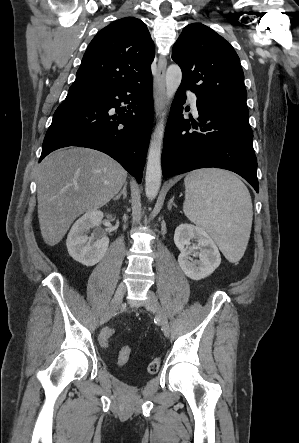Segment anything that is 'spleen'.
<instances>
[{
    "mask_svg": "<svg viewBox=\"0 0 299 443\" xmlns=\"http://www.w3.org/2000/svg\"><path fill=\"white\" fill-rule=\"evenodd\" d=\"M183 211L207 231L230 262L243 256L252 225V201L243 182L228 171L203 169L184 180Z\"/></svg>",
    "mask_w": 299,
    "mask_h": 443,
    "instance_id": "spleen-1",
    "label": "spleen"
}]
</instances>
